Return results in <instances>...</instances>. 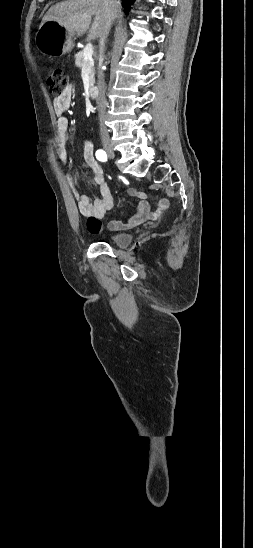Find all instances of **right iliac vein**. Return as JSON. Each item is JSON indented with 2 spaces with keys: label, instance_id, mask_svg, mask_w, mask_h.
Listing matches in <instances>:
<instances>
[{
  "label": "right iliac vein",
  "instance_id": "right-iliac-vein-1",
  "mask_svg": "<svg viewBox=\"0 0 253 548\" xmlns=\"http://www.w3.org/2000/svg\"><path fill=\"white\" fill-rule=\"evenodd\" d=\"M104 150L106 151V153L108 154V156L110 158H114L115 157V152H114V149L112 147V145L108 142L104 143Z\"/></svg>",
  "mask_w": 253,
  "mask_h": 548
}]
</instances>
